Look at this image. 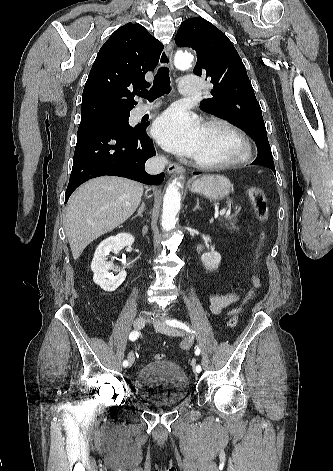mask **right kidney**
Returning a JSON list of instances; mask_svg holds the SVG:
<instances>
[{
    "label": "right kidney",
    "instance_id": "obj_1",
    "mask_svg": "<svg viewBox=\"0 0 333 471\" xmlns=\"http://www.w3.org/2000/svg\"><path fill=\"white\" fill-rule=\"evenodd\" d=\"M134 243V237L128 233H119L103 240L97 247L91 263V270L94 272L93 280L104 291H115L126 279V272L119 271L114 276L109 271L113 269V263L108 262L107 255L110 251L119 250L124 246H131Z\"/></svg>",
    "mask_w": 333,
    "mask_h": 471
}]
</instances>
